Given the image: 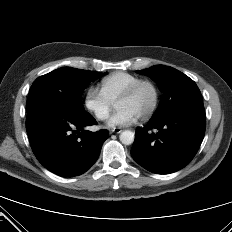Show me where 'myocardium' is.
I'll return each mask as SVG.
<instances>
[{"label": "myocardium", "mask_w": 232, "mask_h": 232, "mask_svg": "<svg viewBox=\"0 0 232 232\" xmlns=\"http://www.w3.org/2000/svg\"><path fill=\"white\" fill-rule=\"evenodd\" d=\"M144 85H148L152 88L153 93H154V98H153V102H152L150 108L139 117L140 119H143V120L152 116L159 105L160 90L154 81H152L150 79H141V80L135 82L122 95H120L115 102V104H117L121 101L131 99L138 92V90Z\"/></svg>", "instance_id": "f54148a6"}]
</instances>
